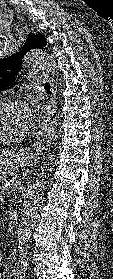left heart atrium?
I'll return each instance as SVG.
<instances>
[{"label":"left heart atrium","mask_w":113,"mask_h":279,"mask_svg":"<svg viewBox=\"0 0 113 279\" xmlns=\"http://www.w3.org/2000/svg\"><path fill=\"white\" fill-rule=\"evenodd\" d=\"M24 118L28 130L35 127L39 120L38 107L34 102H27L23 106Z\"/></svg>","instance_id":"obj_1"}]
</instances>
